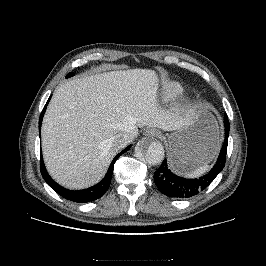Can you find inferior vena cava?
<instances>
[{
  "instance_id": "602c4592",
  "label": "inferior vena cava",
  "mask_w": 266,
  "mask_h": 266,
  "mask_svg": "<svg viewBox=\"0 0 266 266\" xmlns=\"http://www.w3.org/2000/svg\"><path fill=\"white\" fill-rule=\"evenodd\" d=\"M130 141L131 135L128 133H119L111 139L112 147L117 151L126 147Z\"/></svg>"
}]
</instances>
